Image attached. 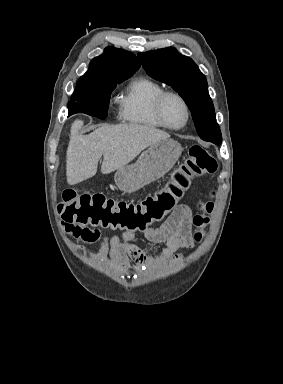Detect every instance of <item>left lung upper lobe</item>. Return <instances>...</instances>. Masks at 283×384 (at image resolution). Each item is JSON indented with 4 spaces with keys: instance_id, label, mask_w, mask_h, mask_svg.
<instances>
[{
    "instance_id": "5c2ea615",
    "label": "left lung upper lobe",
    "mask_w": 283,
    "mask_h": 384,
    "mask_svg": "<svg viewBox=\"0 0 283 384\" xmlns=\"http://www.w3.org/2000/svg\"><path fill=\"white\" fill-rule=\"evenodd\" d=\"M138 57L152 78L172 86L186 101L200 138L219 145L222 136L207 80L194 61L173 47L139 53Z\"/></svg>"
}]
</instances>
